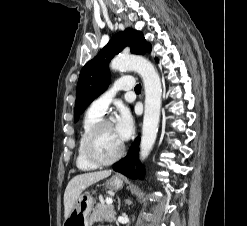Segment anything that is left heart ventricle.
I'll use <instances>...</instances> for the list:
<instances>
[{
    "label": "left heart ventricle",
    "mask_w": 247,
    "mask_h": 226,
    "mask_svg": "<svg viewBox=\"0 0 247 226\" xmlns=\"http://www.w3.org/2000/svg\"><path fill=\"white\" fill-rule=\"evenodd\" d=\"M123 142L119 138L113 125L103 128L92 141V150L100 159L115 156Z\"/></svg>",
    "instance_id": "obj_1"
}]
</instances>
